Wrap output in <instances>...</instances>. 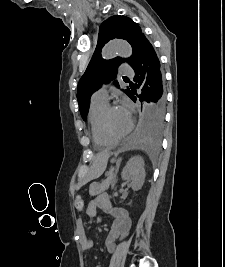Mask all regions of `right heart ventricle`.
<instances>
[{"instance_id":"e07e8e85","label":"right heart ventricle","mask_w":225,"mask_h":267,"mask_svg":"<svg viewBox=\"0 0 225 267\" xmlns=\"http://www.w3.org/2000/svg\"><path fill=\"white\" fill-rule=\"evenodd\" d=\"M106 105V102L92 100L88 112L89 132L93 143L100 148L111 147L115 144L111 140L105 138L99 126L100 116Z\"/></svg>"}]
</instances>
